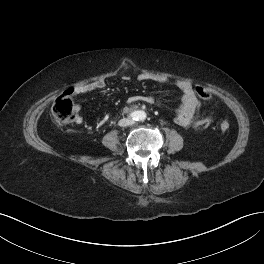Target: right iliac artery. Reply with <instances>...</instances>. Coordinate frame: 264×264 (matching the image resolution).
Segmentation results:
<instances>
[{"instance_id":"obj_1","label":"right iliac artery","mask_w":264,"mask_h":264,"mask_svg":"<svg viewBox=\"0 0 264 264\" xmlns=\"http://www.w3.org/2000/svg\"><path fill=\"white\" fill-rule=\"evenodd\" d=\"M131 117H132V119L137 120L138 115L136 112H133V113H131Z\"/></svg>"}]
</instances>
